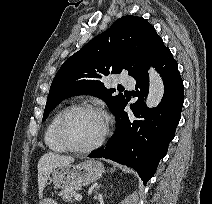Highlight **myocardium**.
<instances>
[{"label":"myocardium","instance_id":"myocardium-1","mask_svg":"<svg viewBox=\"0 0 212 204\" xmlns=\"http://www.w3.org/2000/svg\"><path fill=\"white\" fill-rule=\"evenodd\" d=\"M78 111H88V112L96 113V114L100 115L103 120V130H102L101 135L94 143H92L88 146H85V147H77V146L72 145L69 142V140L67 139L65 131H64V125H65L66 119L72 113H75ZM109 130H110L109 118H108L107 114L105 113V111L97 106L89 105V104H78V105H73V106L66 108L60 114L57 124H56V135H57L59 142L62 144V146L67 151H70L73 153H80V154L89 153V152H92V151L96 150L97 148H99L106 140V138L109 134Z\"/></svg>","mask_w":212,"mask_h":204}]
</instances>
